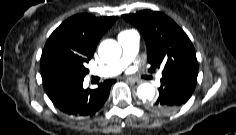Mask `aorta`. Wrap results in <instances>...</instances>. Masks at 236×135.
<instances>
[{
  "label": "aorta",
  "mask_w": 236,
  "mask_h": 135,
  "mask_svg": "<svg viewBox=\"0 0 236 135\" xmlns=\"http://www.w3.org/2000/svg\"><path fill=\"white\" fill-rule=\"evenodd\" d=\"M120 45L112 39H107L99 45L98 53L100 58L106 63L116 62L121 56ZM137 96L139 99L153 100L155 96V88L150 83H143L137 88Z\"/></svg>",
  "instance_id": "762f6f07"
}]
</instances>
